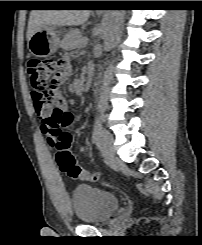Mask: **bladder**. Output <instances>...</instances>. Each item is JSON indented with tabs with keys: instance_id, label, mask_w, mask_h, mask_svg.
<instances>
[{
	"instance_id": "obj_1",
	"label": "bladder",
	"mask_w": 202,
	"mask_h": 245,
	"mask_svg": "<svg viewBox=\"0 0 202 245\" xmlns=\"http://www.w3.org/2000/svg\"><path fill=\"white\" fill-rule=\"evenodd\" d=\"M119 205L115 194L90 185H79L72 192V206L83 223L100 225L118 210Z\"/></svg>"
}]
</instances>
